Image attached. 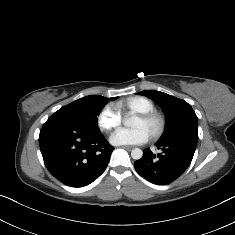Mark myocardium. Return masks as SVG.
I'll return each mask as SVG.
<instances>
[{
  "label": "myocardium",
  "mask_w": 235,
  "mask_h": 235,
  "mask_svg": "<svg viewBox=\"0 0 235 235\" xmlns=\"http://www.w3.org/2000/svg\"><path fill=\"white\" fill-rule=\"evenodd\" d=\"M138 117L150 127L149 135L152 139L159 138L165 132L167 121L162 113L153 110L149 113L138 114Z\"/></svg>",
  "instance_id": "1"
}]
</instances>
